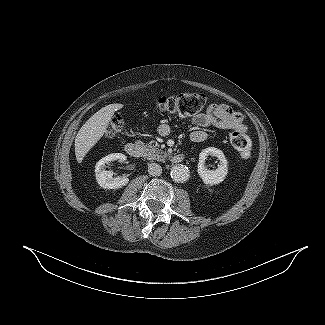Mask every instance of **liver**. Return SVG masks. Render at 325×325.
<instances>
[{
  "label": "liver",
  "mask_w": 325,
  "mask_h": 325,
  "mask_svg": "<svg viewBox=\"0 0 325 325\" xmlns=\"http://www.w3.org/2000/svg\"><path fill=\"white\" fill-rule=\"evenodd\" d=\"M123 104H109L92 115L78 131L75 138V155L81 163L90 149L107 132L114 113L123 108Z\"/></svg>",
  "instance_id": "6515ba94"
}]
</instances>
